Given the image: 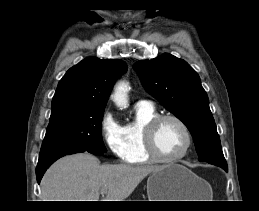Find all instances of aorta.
Here are the masks:
<instances>
[{"label": "aorta", "mask_w": 259, "mask_h": 211, "mask_svg": "<svg viewBox=\"0 0 259 211\" xmlns=\"http://www.w3.org/2000/svg\"><path fill=\"white\" fill-rule=\"evenodd\" d=\"M128 86L126 83L121 82L117 85L115 93L112 96L116 105L120 108H125L128 104Z\"/></svg>", "instance_id": "1"}]
</instances>
